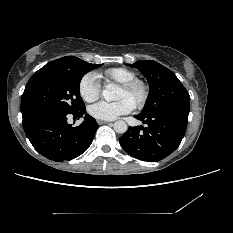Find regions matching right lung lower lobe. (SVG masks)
<instances>
[{
    "label": "right lung lower lobe",
    "instance_id": "98d812e1",
    "mask_svg": "<svg viewBox=\"0 0 233 233\" xmlns=\"http://www.w3.org/2000/svg\"><path fill=\"white\" fill-rule=\"evenodd\" d=\"M85 109L72 113L82 117ZM67 113L49 112L23 122L24 131L33 147L44 157L62 162L71 160L91 145L99 125L96 120L86 115L78 127L67 123Z\"/></svg>",
    "mask_w": 233,
    "mask_h": 233
}]
</instances>
